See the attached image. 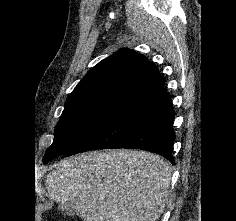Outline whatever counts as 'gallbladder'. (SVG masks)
I'll return each mask as SVG.
<instances>
[{
  "label": "gallbladder",
  "instance_id": "obj_1",
  "mask_svg": "<svg viewBox=\"0 0 236 221\" xmlns=\"http://www.w3.org/2000/svg\"><path fill=\"white\" fill-rule=\"evenodd\" d=\"M77 207L78 204L74 200H70L59 205V208L62 213L69 216H74L77 214Z\"/></svg>",
  "mask_w": 236,
  "mask_h": 221
}]
</instances>
